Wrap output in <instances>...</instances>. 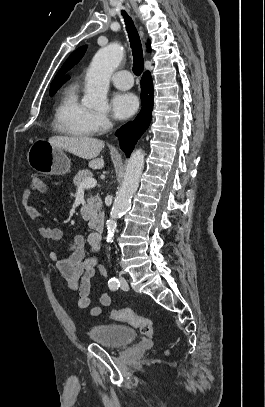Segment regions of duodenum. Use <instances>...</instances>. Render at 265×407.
<instances>
[{"label":"duodenum","instance_id":"duodenum-1","mask_svg":"<svg viewBox=\"0 0 265 407\" xmlns=\"http://www.w3.org/2000/svg\"><path fill=\"white\" fill-rule=\"evenodd\" d=\"M89 225L91 228L101 233L104 229V218L102 214H96L92 216L89 220Z\"/></svg>","mask_w":265,"mask_h":407}]
</instances>
